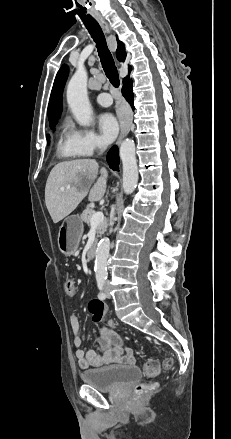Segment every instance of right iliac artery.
I'll return each mask as SVG.
<instances>
[{
  "label": "right iliac artery",
  "mask_w": 231,
  "mask_h": 439,
  "mask_svg": "<svg viewBox=\"0 0 231 439\" xmlns=\"http://www.w3.org/2000/svg\"><path fill=\"white\" fill-rule=\"evenodd\" d=\"M104 282H105V280L103 278L97 279V285H98V288L100 290L98 297L101 300H104L106 298V294L103 292Z\"/></svg>",
  "instance_id": "82829eb1"
}]
</instances>
